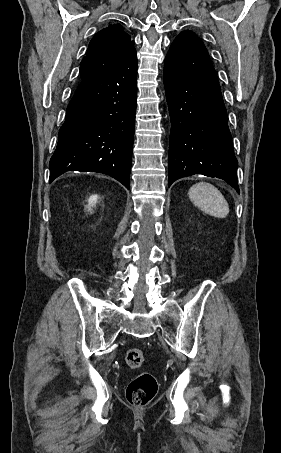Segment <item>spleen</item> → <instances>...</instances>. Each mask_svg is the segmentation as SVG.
<instances>
[{
	"label": "spleen",
	"instance_id": "spleen-1",
	"mask_svg": "<svg viewBox=\"0 0 281 453\" xmlns=\"http://www.w3.org/2000/svg\"><path fill=\"white\" fill-rule=\"evenodd\" d=\"M189 198L193 204H196L198 208L211 214V216H217V218H225L229 212V204L225 200L222 192L210 184V182H197L189 188Z\"/></svg>",
	"mask_w": 281,
	"mask_h": 453
}]
</instances>
